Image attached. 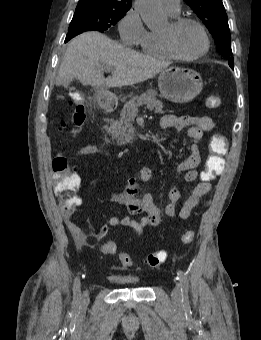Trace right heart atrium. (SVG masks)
Returning <instances> with one entry per match:
<instances>
[{
  "label": "right heart atrium",
  "instance_id": "d8ad5b80",
  "mask_svg": "<svg viewBox=\"0 0 261 340\" xmlns=\"http://www.w3.org/2000/svg\"><path fill=\"white\" fill-rule=\"evenodd\" d=\"M118 31L122 41L128 45H136L144 37L147 30L135 7L129 9L120 19Z\"/></svg>",
  "mask_w": 261,
  "mask_h": 340
}]
</instances>
